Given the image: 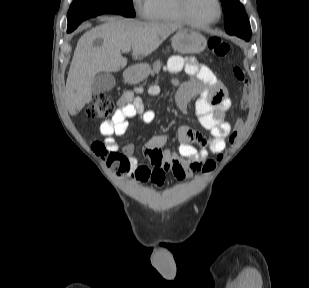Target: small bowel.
Returning <instances> with one entry per match:
<instances>
[{
    "instance_id": "c3829d8e",
    "label": "small bowel",
    "mask_w": 309,
    "mask_h": 288,
    "mask_svg": "<svg viewBox=\"0 0 309 288\" xmlns=\"http://www.w3.org/2000/svg\"><path fill=\"white\" fill-rule=\"evenodd\" d=\"M168 70L177 73L183 68L191 76V81L179 84L175 97L176 107L181 114L186 112L191 99L197 96L195 112L200 124L210 131L208 139H203L195 130L187 125L178 128V151L166 149L167 136L157 134L152 136L143 148L144 156L151 166H143L135 156L134 147L127 144L121 148L126 159L122 166L124 172L142 183L151 182L160 187L164 184L166 174L170 172L175 179L183 181L193 173L202 170V166L209 154H218L226 147V137L231 132V123L227 119V111L231 106V99L224 86L215 74L195 58L183 59L172 56L168 61ZM148 91L152 95L159 93V87L150 86ZM136 92L125 93L118 101V108L110 119L100 125V134L104 137L106 147L111 152L119 151L115 137L122 136L129 129L128 119L138 118L143 123H152L156 114L152 110H145ZM193 142L201 144L197 149Z\"/></svg>"
}]
</instances>
